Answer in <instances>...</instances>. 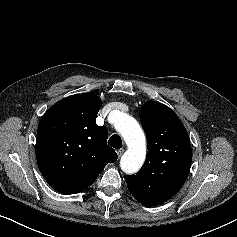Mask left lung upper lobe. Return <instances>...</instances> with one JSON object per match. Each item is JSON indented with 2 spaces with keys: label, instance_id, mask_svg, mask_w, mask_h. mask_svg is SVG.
I'll return each instance as SVG.
<instances>
[{
  "label": "left lung upper lobe",
  "instance_id": "obj_1",
  "mask_svg": "<svg viewBox=\"0 0 237 237\" xmlns=\"http://www.w3.org/2000/svg\"><path fill=\"white\" fill-rule=\"evenodd\" d=\"M140 120L147 136V157L136 175L125 176L128 190L140 203L155 206L173 197L190 171V138L178 116L166 105L146 102Z\"/></svg>",
  "mask_w": 237,
  "mask_h": 237
}]
</instances>
